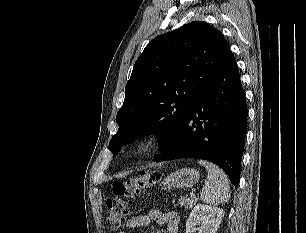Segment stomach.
I'll use <instances>...</instances> for the list:
<instances>
[{
	"label": "stomach",
	"mask_w": 306,
	"mask_h": 233,
	"mask_svg": "<svg viewBox=\"0 0 306 233\" xmlns=\"http://www.w3.org/2000/svg\"><path fill=\"white\" fill-rule=\"evenodd\" d=\"M199 171L193 168H183L168 175L162 182L164 189L188 188L199 180Z\"/></svg>",
	"instance_id": "stomach-1"
}]
</instances>
